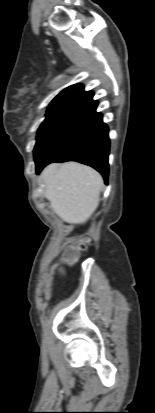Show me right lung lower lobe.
<instances>
[{
    "label": "right lung lower lobe",
    "mask_w": 155,
    "mask_h": 413,
    "mask_svg": "<svg viewBox=\"0 0 155 413\" xmlns=\"http://www.w3.org/2000/svg\"><path fill=\"white\" fill-rule=\"evenodd\" d=\"M97 105L91 98L78 107L61 139L47 157L36 164L37 173L51 162L77 161L95 168L107 183L110 141L102 114L96 112Z\"/></svg>",
    "instance_id": "right-lung-lower-lobe-1"
}]
</instances>
